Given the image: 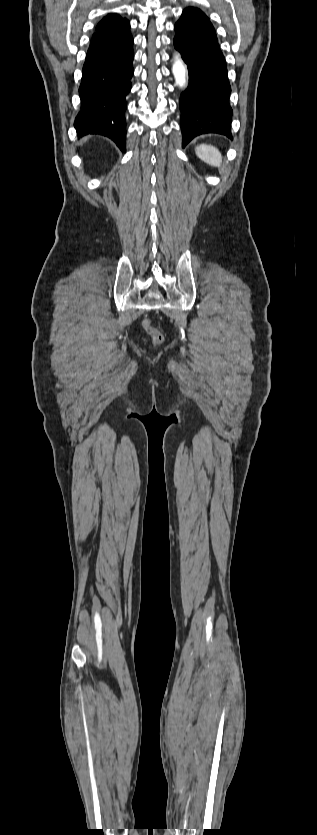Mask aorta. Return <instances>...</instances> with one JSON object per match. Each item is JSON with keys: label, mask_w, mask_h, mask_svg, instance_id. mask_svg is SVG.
<instances>
[{"label": "aorta", "mask_w": 317, "mask_h": 835, "mask_svg": "<svg viewBox=\"0 0 317 835\" xmlns=\"http://www.w3.org/2000/svg\"><path fill=\"white\" fill-rule=\"evenodd\" d=\"M172 73L174 75L176 84L181 88H185L186 85H187V80H186L187 69H186L184 63L182 62V60L180 59L179 55H176L175 58H174V63H173V66H172Z\"/></svg>", "instance_id": "obj_1"}]
</instances>
